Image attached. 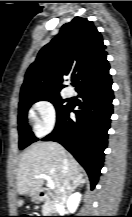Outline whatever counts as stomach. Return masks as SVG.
<instances>
[{"label":"stomach","mask_w":132,"mask_h":217,"mask_svg":"<svg viewBox=\"0 0 132 217\" xmlns=\"http://www.w3.org/2000/svg\"><path fill=\"white\" fill-rule=\"evenodd\" d=\"M38 200V196H34V197H32V201H37Z\"/></svg>","instance_id":"0dacf381"}]
</instances>
